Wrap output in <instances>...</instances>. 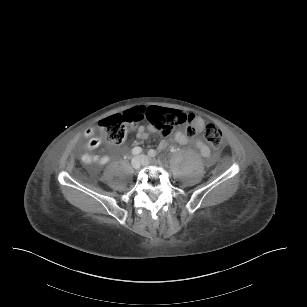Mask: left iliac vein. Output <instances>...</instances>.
Wrapping results in <instances>:
<instances>
[{
	"label": "left iliac vein",
	"instance_id": "obj_1",
	"mask_svg": "<svg viewBox=\"0 0 307 307\" xmlns=\"http://www.w3.org/2000/svg\"><path fill=\"white\" fill-rule=\"evenodd\" d=\"M139 158L141 160V164L144 165V166H147V165L153 163V160L150 159L148 156L140 155Z\"/></svg>",
	"mask_w": 307,
	"mask_h": 307
}]
</instances>
